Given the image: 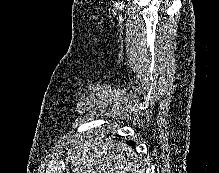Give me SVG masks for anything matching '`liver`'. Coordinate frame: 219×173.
<instances>
[{"label":"liver","instance_id":"liver-1","mask_svg":"<svg viewBox=\"0 0 219 173\" xmlns=\"http://www.w3.org/2000/svg\"><path fill=\"white\" fill-rule=\"evenodd\" d=\"M67 161L74 173H143L130 147L100 134L78 141Z\"/></svg>","mask_w":219,"mask_h":173}]
</instances>
